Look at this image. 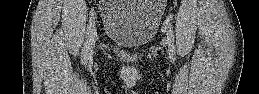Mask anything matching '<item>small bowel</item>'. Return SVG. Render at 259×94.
<instances>
[{"mask_svg": "<svg viewBox=\"0 0 259 94\" xmlns=\"http://www.w3.org/2000/svg\"><path fill=\"white\" fill-rule=\"evenodd\" d=\"M159 5H160V7H161V9H162V5L160 4V3H158Z\"/></svg>", "mask_w": 259, "mask_h": 94, "instance_id": "1", "label": "small bowel"}]
</instances>
